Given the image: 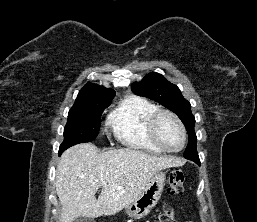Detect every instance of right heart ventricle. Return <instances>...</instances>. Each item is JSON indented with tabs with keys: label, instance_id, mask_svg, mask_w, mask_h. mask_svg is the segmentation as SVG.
Segmentation results:
<instances>
[{
	"label": "right heart ventricle",
	"instance_id": "e07e8e85",
	"mask_svg": "<svg viewBox=\"0 0 257 222\" xmlns=\"http://www.w3.org/2000/svg\"><path fill=\"white\" fill-rule=\"evenodd\" d=\"M158 107L140 96L123 99L108 115L107 124L118 141L126 147L161 153L162 150L152 141L148 132V122Z\"/></svg>",
	"mask_w": 257,
	"mask_h": 222
}]
</instances>
